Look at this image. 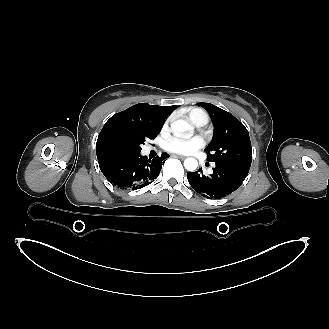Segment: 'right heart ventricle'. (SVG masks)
Instances as JSON below:
<instances>
[{
	"instance_id": "e07e8e85",
	"label": "right heart ventricle",
	"mask_w": 329,
	"mask_h": 329,
	"mask_svg": "<svg viewBox=\"0 0 329 329\" xmlns=\"http://www.w3.org/2000/svg\"><path fill=\"white\" fill-rule=\"evenodd\" d=\"M188 119L193 123V124H198L202 121L204 122H208L209 120V116L208 114L202 110V109H199V108H194V109H191L189 112H188Z\"/></svg>"
}]
</instances>
